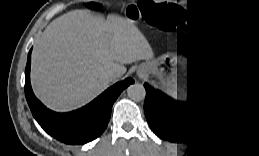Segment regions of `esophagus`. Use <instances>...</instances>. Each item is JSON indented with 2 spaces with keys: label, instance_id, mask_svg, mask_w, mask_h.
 <instances>
[{
  "label": "esophagus",
  "instance_id": "1",
  "mask_svg": "<svg viewBox=\"0 0 259 156\" xmlns=\"http://www.w3.org/2000/svg\"><path fill=\"white\" fill-rule=\"evenodd\" d=\"M138 75L140 78H144V73L143 72H138Z\"/></svg>",
  "mask_w": 259,
  "mask_h": 156
}]
</instances>
